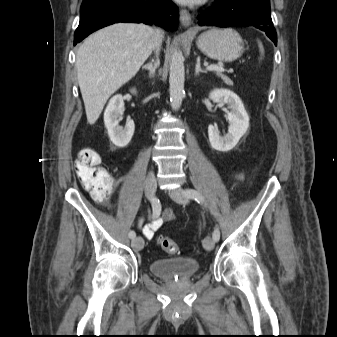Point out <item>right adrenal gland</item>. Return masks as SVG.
<instances>
[{"label":"right adrenal gland","instance_id":"2a0ac1e0","mask_svg":"<svg viewBox=\"0 0 337 337\" xmlns=\"http://www.w3.org/2000/svg\"><path fill=\"white\" fill-rule=\"evenodd\" d=\"M160 61L159 58L156 57V60H152L151 63H148L142 67V69H146L149 71V77H153L155 74V70L159 67Z\"/></svg>","mask_w":337,"mask_h":337}]
</instances>
